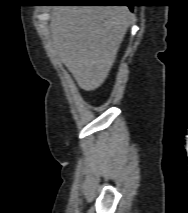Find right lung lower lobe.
Instances as JSON below:
<instances>
[{
	"mask_svg": "<svg viewBox=\"0 0 188 213\" xmlns=\"http://www.w3.org/2000/svg\"><path fill=\"white\" fill-rule=\"evenodd\" d=\"M61 1H58V2H54V3H60ZM62 3V2H61ZM88 3V2H87ZM90 3V2H89ZM91 3H102V2H91ZM128 7L132 8L133 6L132 5H129Z\"/></svg>",
	"mask_w": 188,
	"mask_h": 213,
	"instance_id": "98d812e1",
	"label": "right lung lower lobe"
}]
</instances>
